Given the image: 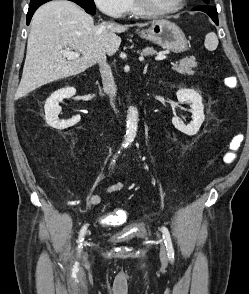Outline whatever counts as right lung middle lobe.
I'll use <instances>...</instances> for the list:
<instances>
[{"instance_id":"dd1d6c3e","label":"right lung middle lobe","mask_w":249,"mask_h":294,"mask_svg":"<svg viewBox=\"0 0 249 294\" xmlns=\"http://www.w3.org/2000/svg\"><path fill=\"white\" fill-rule=\"evenodd\" d=\"M45 0H31L30 5H34ZM80 5L84 10H87L90 14L94 15L96 12V6L93 0H71Z\"/></svg>"}]
</instances>
